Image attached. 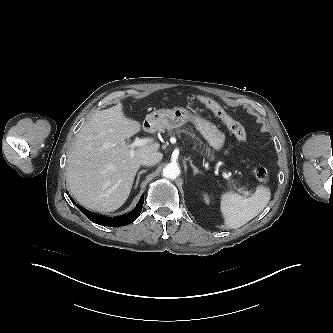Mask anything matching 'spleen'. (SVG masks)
Here are the masks:
<instances>
[{
  "label": "spleen",
  "mask_w": 333,
  "mask_h": 333,
  "mask_svg": "<svg viewBox=\"0 0 333 333\" xmlns=\"http://www.w3.org/2000/svg\"><path fill=\"white\" fill-rule=\"evenodd\" d=\"M270 197V189L264 186H258L249 198L232 191L222 194L220 209L225 225L230 229L245 225L263 211Z\"/></svg>",
  "instance_id": "spleen-1"
}]
</instances>
